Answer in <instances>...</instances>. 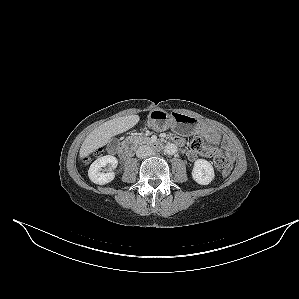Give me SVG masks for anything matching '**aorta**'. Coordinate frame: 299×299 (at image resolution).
<instances>
[{"instance_id":"762f6f07","label":"aorta","mask_w":299,"mask_h":299,"mask_svg":"<svg viewBox=\"0 0 299 299\" xmlns=\"http://www.w3.org/2000/svg\"><path fill=\"white\" fill-rule=\"evenodd\" d=\"M165 152L169 155H173L177 152V146L173 143H169L165 146Z\"/></svg>"}]
</instances>
